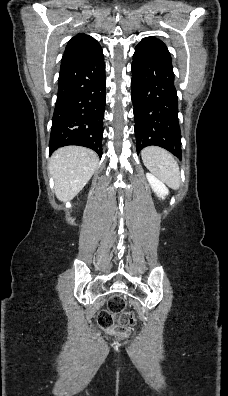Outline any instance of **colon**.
<instances>
[{"label":"colon","instance_id":"obj_1","mask_svg":"<svg viewBox=\"0 0 228 396\" xmlns=\"http://www.w3.org/2000/svg\"><path fill=\"white\" fill-rule=\"evenodd\" d=\"M125 307L126 303L121 295H112L107 310L98 315L100 327L117 337H128L136 324V318L132 312H125ZM116 314H120L118 319L115 317Z\"/></svg>","mask_w":228,"mask_h":396}]
</instances>
